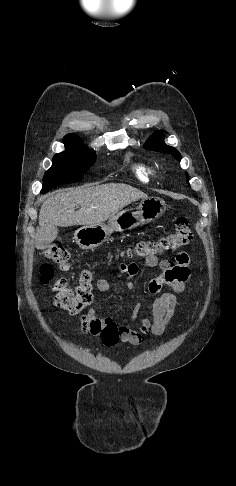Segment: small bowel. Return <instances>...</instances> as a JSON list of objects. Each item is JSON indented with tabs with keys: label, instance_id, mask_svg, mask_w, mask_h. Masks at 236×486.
<instances>
[{
	"label": "small bowel",
	"instance_id": "obj_1",
	"mask_svg": "<svg viewBox=\"0 0 236 486\" xmlns=\"http://www.w3.org/2000/svg\"><path fill=\"white\" fill-rule=\"evenodd\" d=\"M189 263V257L184 252L177 253L175 261H159L156 256L147 258V266L155 267L158 265L162 271L158 277L152 279L148 284L149 293L156 296L151 305L152 318L141 319L138 329H133L127 325H118L109 317L100 318L95 309L91 308L79 317L82 334L93 337L100 336L107 346H113L119 341L137 346L149 333L161 335L175 314L177 305L175 294L184 291L185 284L189 279ZM118 271L121 275L133 277L138 273L139 267L135 262L121 264ZM164 286L168 287L171 292L161 293ZM95 287L99 292L104 293L109 290L110 284L106 279L100 278L96 281ZM127 288L133 291L134 284L129 282ZM139 310L140 304H136L132 321L136 320Z\"/></svg>",
	"mask_w": 236,
	"mask_h": 486
}]
</instances>
